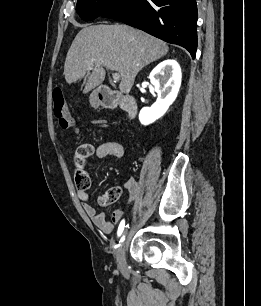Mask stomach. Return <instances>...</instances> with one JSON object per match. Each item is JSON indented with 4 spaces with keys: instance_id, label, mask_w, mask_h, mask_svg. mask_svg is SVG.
Returning a JSON list of instances; mask_svg holds the SVG:
<instances>
[{
    "instance_id": "1",
    "label": "stomach",
    "mask_w": 261,
    "mask_h": 306,
    "mask_svg": "<svg viewBox=\"0 0 261 306\" xmlns=\"http://www.w3.org/2000/svg\"><path fill=\"white\" fill-rule=\"evenodd\" d=\"M90 104L93 107H98L100 105V99L98 96V93L96 91H94L91 95H90Z\"/></svg>"
}]
</instances>
